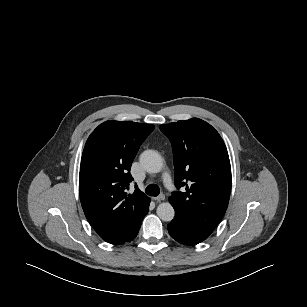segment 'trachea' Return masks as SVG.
I'll return each mask as SVG.
<instances>
[{
	"label": "trachea",
	"mask_w": 307,
	"mask_h": 307,
	"mask_svg": "<svg viewBox=\"0 0 307 307\" xmlns=\"http://www.w3.org/2000/svg\"><path fill=\"white\" fill-rule=\"evenodd\" d=\"M146 193L150 196H158L160 189L157 185L151 184L146 187Z\"/></svg>",
	"instance_id": "trachea-1"
}]
</instances>
